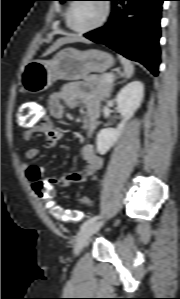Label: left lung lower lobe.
Returning a JSON list of instances; mask_svg holds the SVG:
<instances>
[{
	"instance_id": "1",
	"label": "left lung lower lobe",
	"mask_w": 180,
	"mask_h": 299,
	"mask_svg": "<svg viewBox=\"0 0 180 299\" xmlns=\"http://www.w3.org/2000/svg\"><path fill=\"white\" fill-rule=\"evenodd\" d=\"M112 13L104 27L84 34L158 75L160 19L165 0H108Z\"/></svg>"
}]
</instances>
